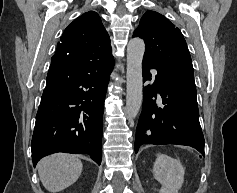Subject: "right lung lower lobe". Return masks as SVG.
<instances>
[{
	"mask_svg": "<svg viewBox=\"0 0 237 193\" xmlns=\"http://www.w3.org/2000/svg\"><path fill=\"white\" fill-rule=\"evenodd\" d=\"M113 57L84 65L51 59L31 142L35 166L55 152L86 153L100 165L103 107Z\"/></svg>",
	"mask_w": 237,
	"mask_h": 193,
	"instance_id": "1",
	"label": "right lung lower lobe"
}]
</instances>
